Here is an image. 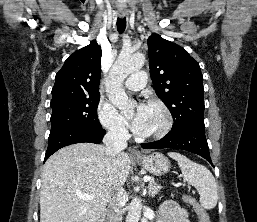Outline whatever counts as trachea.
I'll list each match as a JSON object with an SVG mask.
<instances>
[{
  "label": "trachea",
  "mask_w": 257,
  "mask_h": 222,
  "mask_svg": "<svg viewBox=\"0 0 257 222\" xmlns=\"http://www.w3.org/2000/svg\"><path fill=\"white\" fill-rule=\"evenodd\" d=\"M126 28V18H117V30L120 34L125 31Z\"/></svg>",
  "instance_id": "1"
}]
</instances>
